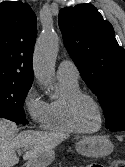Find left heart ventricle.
<instances>
[{
  "mask_svg": "<svg viewBox=\"0 0 125 167\" xmlns=\"http://www.w3.org/2000/svg\"><path fill=\"white\" fill-rule=\"evenodd\" d=\"M76 118L79 125L87 130L96 129L99 125V113L96 106L88 99H83L77 106Z\"/></svg>",
  "mask_w": 125,
  "mask_h": 167,
  "instance_id": "b2bd125f",
  "label": "left heart ventricle"
}]
</instances>
